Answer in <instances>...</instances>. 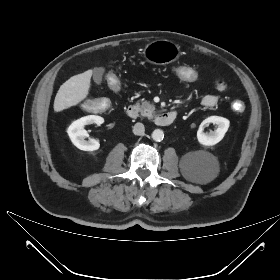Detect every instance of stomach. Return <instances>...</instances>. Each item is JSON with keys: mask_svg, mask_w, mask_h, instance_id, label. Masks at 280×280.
Returning a JSON list of instances; mask_svg holds the SVG:
<instances>
[{"mask_svg": "<svg viewBox=\"0 0 280 280\" xmlns=\"http://www.w3.org/2000/svg\"><path fill=\"white\" fill-rule=\"evenodd\" d=\"M145 59L153 64H168L180 56V47L169 40H155L146 45Z\"/></svg>", "mask_w": 280, "mask_h": 280, "instance_id": "obj_1", "label": "stomach"}]
</instances>
